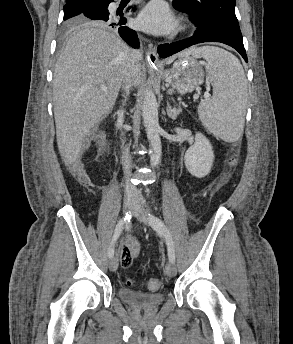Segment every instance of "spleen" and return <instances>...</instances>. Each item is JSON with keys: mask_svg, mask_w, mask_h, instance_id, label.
Here are the masks:
<instances>
[{"mask_svg": "<svg viewBox=\"0 0 293 344\" xmlns=\"http://www.w3.org/2000/svg\"><path fill=\"white\" fill-rule=\"evenodd\" d=\"M182 54L203 57L208 63L213 97L200 102L199 118L213 135L227 142L240 138L244 129L247 84L240 61L228 51L204 46Z\"/></svg>", "mask_w": 293, "mask_h": 344, "instance_id": "1", "label": "spleen"}]
</instances>
